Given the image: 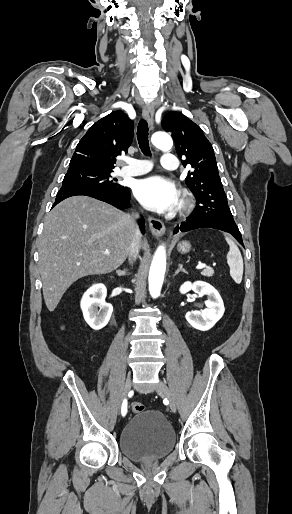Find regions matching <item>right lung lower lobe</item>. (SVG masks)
I'll return each instance as SVG.
<instances>
[{
    "label": "right lung lower lobe",
    "mask_w": 292,
    "mask_h": 514,
    "mask_svg": "<svg viewBox=\"0 0 292 514\" xmlns=\"http://www.w3.org/2000/svg\"><path fill=\"white\" fill-rule=\"evenodd\" d=\"M77 195L90 196L109 203L119 209H126L130 206L131 195L127 187L119 189H103L90 186L71 185L61 187L56 195L55 203L52 207L68 197ZM138 223L141 232L144 233L145 225L143 218L139 219Z\"/></svg>",
    "instance_id": "98d812e1"
}]
</instances>
